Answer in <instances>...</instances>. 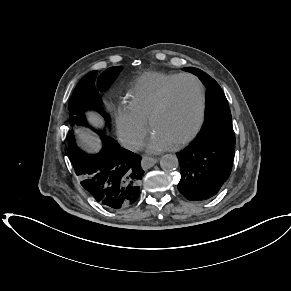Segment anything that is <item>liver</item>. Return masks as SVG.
<instances>
[{
  "mask_svg": "<svg viewBox=\"0 0 291 291\" xmlns=\"http://www.w3.org/2000/svg\"><path fill=\"white\" fill-rule=\"evenodd\" d=\"M89 120L96 126L102 125V119L96 114H89ZM78 139L81 145L91 153L98 152L101 149L100 140L92 133L86 130H78Z\"/></svg>",
  "mask_w": 291,
  "mask_h": 291,
  "instance_id": "obj_1",
  "label": "liver"
}]
</instances>
